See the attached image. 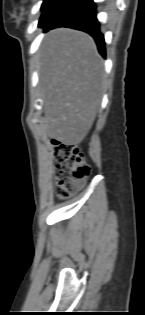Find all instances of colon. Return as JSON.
I'll return each mask as SVG.
<instances>
[{"mask_svg": "<svg viewBox=\"0 0 145 315\" xmlns=\"http://www.w3.org/2000/svg\"><path fill=\"white\" fill-rule=\"evenodd\" d=\"M53 145L56 162V196L63 200L81 187L90 175L91 167L75 144L54 139ZM64 173L68 176H63Z\"/></svg>", "mask_w": 145, "mask_h": 315, "instance_id": "1", "label": "colon"}]
</instances>
